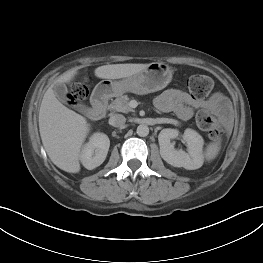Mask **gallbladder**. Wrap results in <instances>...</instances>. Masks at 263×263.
<instances>
[{
    "instance_id": "obj_1",
    "label": "gallbladder",
    "mask_w": 263,
    "mask_h": 263,
    "mask_svg": "<svg viewBox=\"0 0 263 263\" xmlns=\"http://www.w3.org/2000/svg\"><path fill=\"white\" fill-rule=\"evenodd\" d=\"M53 91H54L56 97L61 102L65 103L67 101L68 91H67V87H66L65 84H63V83L55 84L54 87H53ZM75 109L77 111H79L80 113H83V114L86 113V111H87L86 106L81 105V104L76 105Z\"/></svg>"
}]
</instances>
